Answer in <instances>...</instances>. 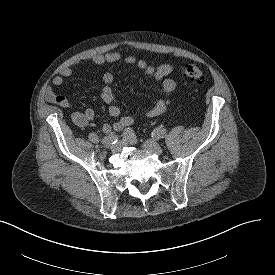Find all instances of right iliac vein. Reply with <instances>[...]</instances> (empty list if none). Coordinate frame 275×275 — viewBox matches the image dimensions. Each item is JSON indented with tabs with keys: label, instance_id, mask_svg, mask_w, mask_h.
Segmentation results:
<instances>
[{
	"label": "right iliac vein",
	"instance_id": "1",
	"mask_svg": "<svg viewBox=\"0 0 275 275\" xmlns=\"http://www.w3.org/2000/svg\"><path fill=\"white\" fill-rule=\"evenodd\" d=\"M124 145H125V141L122 140L116 143L115 145H112L110 148L113 153H116V152H120L121 149L124 147Z\"/></svg>",
	"mask_w": 275,
	"mask_h": 275
}]
</instances>
